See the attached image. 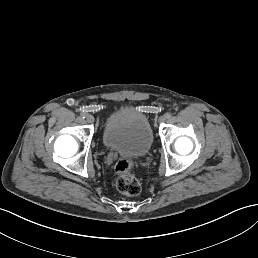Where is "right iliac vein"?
Returning <instances> with one entry per match:
<instances>
[{"label": "right iliac vein", "instance_id": "63e3f726", "mask_svg": "<svg viewBox=\"0 0 258 258\" xmlns=\"http://www.w3.org/2000/svg\"><path fill=\"white\" fill-rule=\"evenodd\" d=\"M85 119H86L87 122H89V124H94V119L95 118H94L93 115L89 114V115L86 116Z\"/></svg>", "mask_w": 258, "mask_h": 258}]
</instances>
